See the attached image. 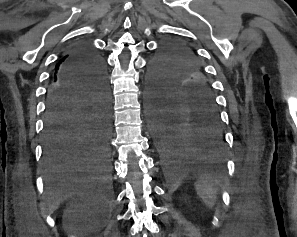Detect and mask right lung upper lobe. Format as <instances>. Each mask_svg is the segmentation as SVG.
Returning a JSON list of instances; mask_svg holds the SVG:
<instances>
[{
	"label": "right lung upper lobe",
	"mask_w": 297,
	"mask_h": 237,
	"mask_svg": "<svg viewBox=\"0 0 297 237\" xmlns=\"http://www.w3.org/2000/svg\"><path fill=\"white\" fill-rule=\"evenodd\" d=\"M64 58V57H63ZM61 59L60 62L56 65V68H55V72H54V75L52 77V82H56L59 78V74H60V70H61V66L63 64V60L64 59Z\"/></svg>",
	"instance_id": "cb5924a9"
}]
</instances>
